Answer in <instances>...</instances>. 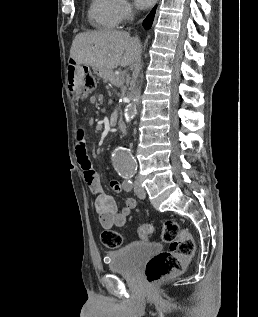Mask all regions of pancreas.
<instances>
[{"label": "pancreas", "instance_id": "pancreas-1", "mask_svg": "<svg viewBox=\"0 0 258 317\" xmlns=\"http://www.w3.org/2000/svg\"><path fill=\"white\" fill-rule=\"evenodd\" d=\"M110 83L111 84H115V86L116 87H120V88H122L123 86H122V80H121V78L120 77H111L110 78Z\"/></svg>", "mask_w": 258, "mask_h": 317}]
</instances>
